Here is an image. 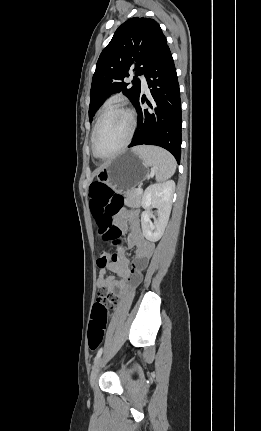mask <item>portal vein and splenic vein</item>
Listing matches in <instances>:
<instances>
[{
  "instance_id": "18ae733b",
  "label": "portal vein and splenic vein",
  "mask_w": 261,
  "mask_h": 431,
  "mask_svg": "<svg viewBox=\"0 0 261 431\" xmlns=\"http://www.w3.org/2000/svg\"><path fill=\"white\" fill-rule=\"evenodd\" d=\"M137 192H138V193H142V192H143V190H142L141 186H139V187H138Z\"/></svg>"
}]
</instances>
